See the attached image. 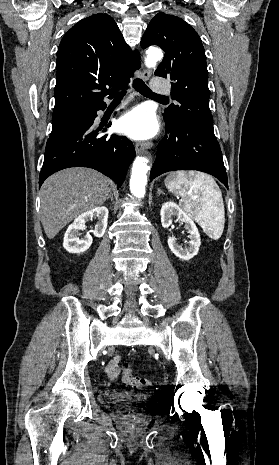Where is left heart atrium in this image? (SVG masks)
<instances>
[{"label": "left heart atrium", "instance_id": "1", "mask_svg": "<svg viewBox=\"0 0 279 465\" xmlns=\"http://www.w3.org/2000/svg\"><path fill=\"white\" fill-rule=\"evenodd\" d=\"M118 129L132 139L144 140L157 133L158 122L150 108L138 106L120 118Z\"/></svg>", "mask_w": 279, "mask_h": 465}]
</instances>
